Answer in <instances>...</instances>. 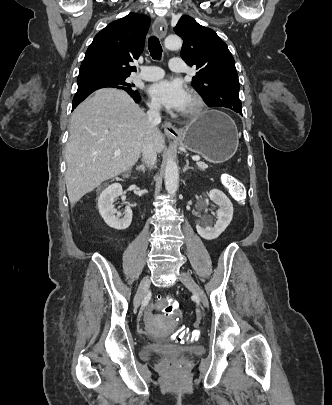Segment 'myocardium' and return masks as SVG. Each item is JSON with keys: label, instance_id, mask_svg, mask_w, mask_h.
<instances>
[{"label": "myocardium", "instance_id": "f54148a6", "mask_svg": "<svg viewBox=\"0 0 332 405\" xmlns=\"http://www.w3.org/2000/svg\"><path fill=\"white\" fill-rule=\"evenodd\" d=\"M189 99L191 106L189 110L183 112V116L186 118H194L201 113L203 109V101L202 98L195 92H190Z\"/></svg>", "mask_w": 332, "mask_h": 405}]
</instances>
